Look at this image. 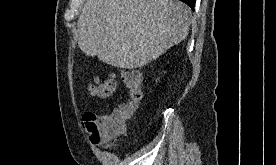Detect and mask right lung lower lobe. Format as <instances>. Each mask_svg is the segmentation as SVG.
I'll return each mask as SVG.
<instances>
[{
    "instance_id": "1",
    "label": "right lung lower lobe",
    "mask_w": 276,
    "mask_h": 165,
    "mask_svg": "<svg viewBox=\"0 0 276 165\" xmlns=\"http://www.w3.org/2000/svg\"><path fill=\"white\" fill-rule=\"evenodd\" d=\"M180 1L186 3L187 5H189L191 7L192 10H194L195 0H180Z\"/></svg>"
}]
</instances>
